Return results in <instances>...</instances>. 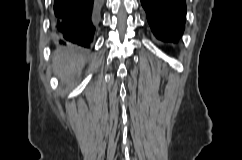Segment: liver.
<instances>
[{
    "label": "liver",
    "instance_id": "1",
    "mask_svg": "<svg viewBox=\"0 0 242 160\" xmlns=\"http://www.w3.org/2000/svg\"><path fill=\"white\" fill-rule=\"evenodd\" d=\"M54 71L63 80L72 79L84 65V57L77 47L58 49L53 57Z\"/></svg>",
    "mask_w": 242,
    "mask_h": 160
}]
</instances>
